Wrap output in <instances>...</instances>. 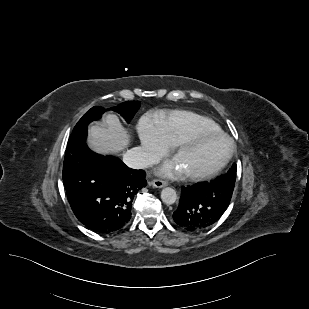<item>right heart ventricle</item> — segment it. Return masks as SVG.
<instances>
[{
  "mask_svg": "<svg viewBox=\"0 0 309 309\" xmlns=\"http://www.w3.org/2000/svg\"><path fill=\"white\" fill-rule=\"evenodd\" d=\"M156 127L171 145H176L195 131L221 132L212 119L186 110L170 112L156 122Z\"/></svg>",
  "mask_w": 309,
  "mask_h": 309,
  "instance_id": "obj_1",
  "label": "right heart ventricle"
}]
</instances>
